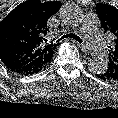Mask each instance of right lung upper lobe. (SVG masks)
Returning <instances> with one entry per match:
<instances>
[{
	"mask_svg": "<svg viewBox=\"0 0 118 118\" xmlns=\"http://www.w3.org/2000/svg\"><path fill=\"white\" fill-rule=\"evenodd\" d=\"M61 5L28 0L0 22V59L10 70L28 74L49 65L58 44L47 43V20Z\"/></svg>",
	"mask_w": 118,
	"mask_h": 118,
	"instance_id": "cb5924a9",
	"label": "right lung upper lobe"
}]
</instances>
